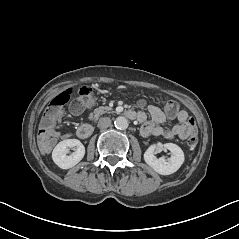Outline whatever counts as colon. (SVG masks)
I'll list each match as a JSON object with an SVG mask.
<instances>
[{"mask_svg": "<svg viewBox=\"0 0 239 239\" xmlns=\"http://www.w3.org/2000/svg\"><path fill=\"white\" fill-rule=\"evenodd\" d=\"M71 90H66L56 95L48 107L46 108L39 131V139L41 143H47L50 139V132L53 130L55 122L58 120L62 107L67 104L70 99ZM94 103L93 89L88 85H82L78 89V97L72 103L71 109L74 113H80L90 108ZM179 110L178 104L175 101H168L165 104V112L169 116L176 115ZM189 124L195 127V121L193 118L189 119ZM198 138L196 131L194 130L187 140V145L190 150H194L197 146Z\"/></svg>", "mask_w": 239, "mask_h": 239, "instance_id": "5ec220e1", "label": "colon"}]
</instances>
